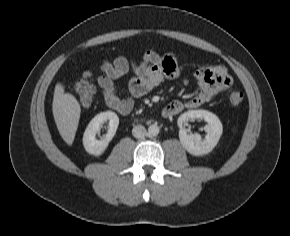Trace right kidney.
<instances>
[{"label":"right kidney","instance_id":"obj_1","mask_svg":"<svg viewBox=\"0 0 290 236\" xmlns=\"http://www.w3.org/2000/svg\"><path fill=\"white\" fill-rule=\"evenodd\" d=\"M109 122L107 134L100 140L96 139V134L100 131L103 123ZM119 125V118L115 112L106 111L97 114L88 124L83 135V145L85 150L92 155H101L114 137Z\"/></svg>","mask_w":290,"mask_h":236}]
</instances>
